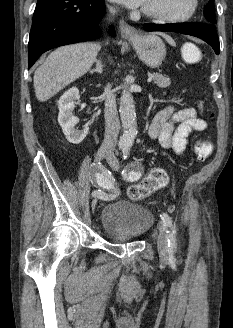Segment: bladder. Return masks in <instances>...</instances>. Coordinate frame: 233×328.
<instances>
[{
  "label": "bladder",
  "mask_w": 233,
  "mask_h": 328,
  "mask_svg": "<svg viewBox=\"0 0 233 328\" xmlns=\"http://www.w3.org/2000/svg\"><path fill=\"white\" fill-rule=\"evenodd\" d=\"M100 222L110 237L134 239L150 229L154 218L144 206L118 199L102 208Z\"/></svg>",
  "instance_id": "31cf9c89"
}]
</instances>
